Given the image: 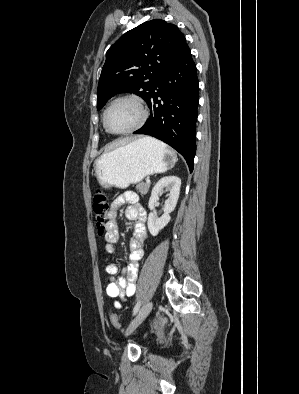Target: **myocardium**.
Here are the masks:
<instances>
[{
  "label": "myocardium",
  "instance_id": "obj_1",
  "mask_svg": "<svg viewBox=\"0 0 299 394\" xmlns=\"http://www.w3.org/2000/svg\"><path fill=\"white\" fill-rule=\"evenodd\" d=\"M119 101L133 102L139 109L140 118H139L138 122L134 126H132L131 128L124 130V131L115 132V131H112L107 125V114H108L109 110L111 109V107ZM147 118H148V111H147L143 101L140 98L133 96V95H122V96H119V97L113 99L106 107V109L103 113V126H104L105 130L110 134L127 135V134H131V133L139 130L146 123Z\"/></svg>",
  "mask_w": 299,
  "mask_h": 394
}]
</instances>
